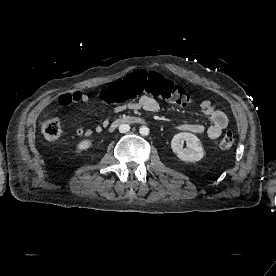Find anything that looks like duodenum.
<instances>
[{"label": "duodenum", "mask_w": 276, "mask_h": 276, "mask_svg": "<svg viewBox=\"0 0 276 276\" xmlns=\"http://www.w3.org/2000/svg\"><path fill=\"white\" fill-rule=\"evenodd\" d=\"M143 119L136 116H122L114 119L110 124V130H114L117 126L122 124H139L142 123Z\"/></svg>", "instance_id": "410a0bca"}]
</instances>
